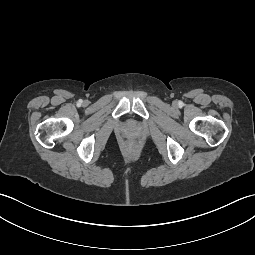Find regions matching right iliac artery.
I'll return each instance as SVG.
<instances>
[{
    "label": "right iliac artery",
    "mask_w": 255,
    "mask_h": 255,
    "mask_svg": "<svg viewBox=\"0 0 255 255\" xmlns=\"http://www.w3.org/2000/svg\"><path fill=\"white\" fill-rule=\"evenodd\" d=\"M79 104H81L82 103V100H79V102H78Z\"/></svg>",
    "instance_id": "right-iliac-artery-1"
}]
</instances>
